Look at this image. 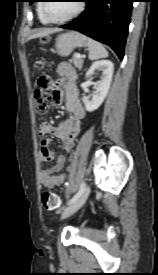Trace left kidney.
<instances>
[{
	"instance_id": "5707ae66",
	"label": "left kidney",
	"mask_w": 158,
	"mask_h": 275,
	"mask_svg": "<svg viewBox=\"0 0 158 275\" xmlns=\"http://www.w3.org/2000/svg\"><path fill=\"white\" fill-rule=\"evenodd\" d=\"M96 70L102 71L101 80L96 84L95 91L92 95L91 100L87 98H82L85 109L88 112H92L98 109L106 98L112 81L114 65L110 60L96 61L90 66V68L86 72V77L93 74Z\"/></svg>"
}]
</instances>
